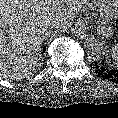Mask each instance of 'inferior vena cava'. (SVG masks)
<instances>
[{
  "label": "inferior vena cava",
  "mask_w": 118,
  "mask_h": 118,
  "mask_svg": "<svg viewBox=\"0 0 118 118\" xmlns=\"http://www.w3.org/2000/svg\"><path fill=\"white\" fill-rule=\"evenodd\" d=\"M62 27L63 26H58L53 23V24H51L49 31H50V33H58L59 31H61Z\"/></svg>",
  "instance_id": "602c4592"
}]
</instances>
